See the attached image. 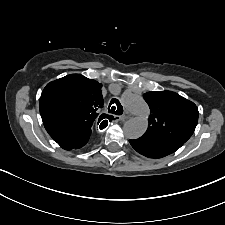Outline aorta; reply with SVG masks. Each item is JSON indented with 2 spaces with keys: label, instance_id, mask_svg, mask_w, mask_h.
<instances>
[{
  "label": "aorta",
  "instance_id": "obj_1",
  "mask_svg": "<svg viewBox=\"0 0 225 225\" xmlns=\"http://www.w3.org/2000/svg\"><path fill=\"white\" fill-rule=\"evenodd\" d=\"M121 100L123 105L136 115L125 122L124 134L129 139H137L147 130L148 120L146 116L149 113V107L141 97L136 95H124Z\"/></svg>",
  "mask_w": 225,
  "mask_h": 225
}]
</instances>
